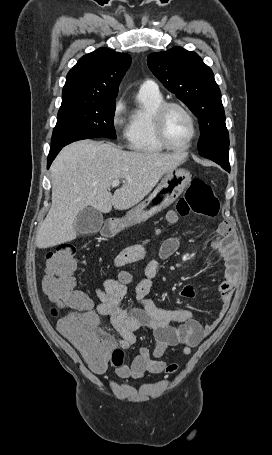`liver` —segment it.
Wrapping results in <instances>:
<instances>
[{
  "label": "liver",
  "instance_id": "liver-1",
  "mask_svg": "<svg viewBox=\"0 0 272 455\" xmlns=\"http://www.w3.org/2000/svg\"><path fill=\"white\" fill-rule=\"evenodd\" d=\"M185 158V154L123 151L112 143L91 140L64 147L51 165L52 205L38 230L36 246L45 249L74 240V221L88 205L102 213L135 206ZM114 180L123 185L112 195Z\"/></svg>",
  "mask_w": 272,
  "mask_h": 455
}]
</instances>
